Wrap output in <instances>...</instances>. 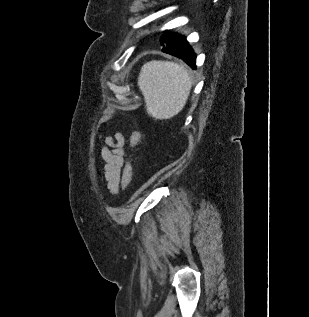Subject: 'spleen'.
Segmentation results:
<instances>
[{
	"label": "spleen",
	"instance_id": "1",
	"mask_svg": "<svg viewBox=\"0 0 309 317\" xmlns=\"http://www.w3.org/2000/svg\"><path fill=\"white\" fill-rule=\"evenodd\" d=\"M138 86L144 96L147 113L155 119H169L184 108L192 78L182 65L150 61L141 68Z\"/></svg>",
	"mask_w": 309,
	"mask_h": 317
}]
</instances>
